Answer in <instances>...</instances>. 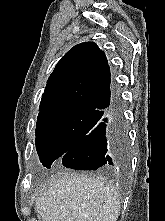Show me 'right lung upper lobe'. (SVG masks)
<instances>
[{"mask_svg": "<svg viewBox=\"0 0 165 221\" xmlns=\"http://www.w3.org/2000/svg\"><path fill=\"white\" fill-rule=\"evenodd\" d=\"M110 83L104 52L94 42L78 44L62 57L50 75L39 111L100 112L113 98Z\"/></svg>", "mask_w": 165, "mask_h": 221, "instance_id": "1", "label": "right lung upper lobe"}]
</instances>
